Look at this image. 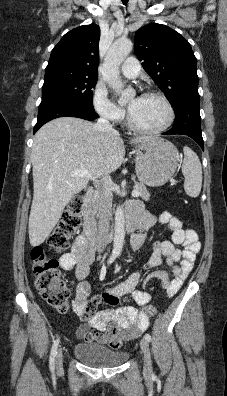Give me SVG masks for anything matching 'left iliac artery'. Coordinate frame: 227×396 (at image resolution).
<instances>
[{
  "label": "left iliac artery",
  "mask_w": 227,
  "mask_h": 396,
  "mask_svg": "<svg viewBox=\"0 0 227 396\" xmlns=\"http://www.w3.org/2000/svg\"><path fill=\"white\" fill-rule=\"evenodd\" d=\"M144 338L149 342V341H151V336H150V334H145V336H144Z\"/></svg>",
  "instance_id": "left-iliac-artery-1"
}]
</instances>
